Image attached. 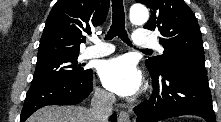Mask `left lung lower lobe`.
Masks as SVG:
<instances>
[{"label":"left lung lower lobe","mask_w":221,"mask_h":122,"mask_svg":"<svg viewBox=\"0 0 221 122\" xmlns=\"http://www.w3.org/2000/svg\"><path fill=\"white\" fill-rule=\"evenodd\" d=\"M150 74L154 93L135 107L137 122H157L180 115H198L216 122L205 67L179 64L162 75Z\"/></svg>","instance_id":"0a47b994"}]
</instances>
